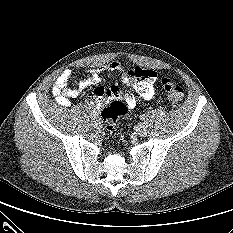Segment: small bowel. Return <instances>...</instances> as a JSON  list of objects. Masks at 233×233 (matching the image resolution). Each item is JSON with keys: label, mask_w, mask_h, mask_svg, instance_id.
<instances>
[{"label": "small bowel", "mask_w": 233, "mask_h": 233, "mask_svg": "<svg viewBox=\"0 0 233 233\" xmlns=\"http://www.w3.org/2000/svg\"><path fill=\"white\" fill-rule=\"evenodd\" d=\"M132 67L134 66L126 62H111L98 69L90 70L89 76L81 80L77 87L74 88L68 87V82L73 73L71 70L66 69L55 80L52 87V94L58 104L61 106H68L70 100L76 98L81 91L98 84L101 81V74L103 72H119L122 74L124 84L134 91L133 93H124L123 99L128 108H134L140 100H150L155 96L156 74L154 71L148 70L151 73L150 81L135 84L128 76V72ZM120 94L121 89L118 85H112L108 89L98 86L87 99V104L93 106L95 109H99L107 98L119 96Z\"/></svg>", "instance_id": "small-bowel-1"}]
</instances>
